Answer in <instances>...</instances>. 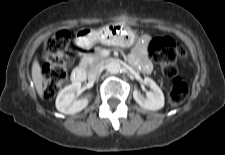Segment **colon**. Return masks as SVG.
Here are the masks:
<instances>
[{
    "label": "colon",
    "mask_w": 225,
    "mask_h": 155,
    "mask_svg": "<svg viewBox=\"0 0 225 155\" xmlns=\"http://www.w3.org/2000/svg\"><path fill=\"white\" fill-rule=\"evenodd\" d=\"M70 33L61 30L52 35L44 45L43 96L50 100L56 96L68 77ZM149 54L160 65L161 73L171 81L168 102L171 106L182 104L188 95L187 84L179 77L178 64L187 56L184 46L170 37L150 41Z\"/></svg>",
    "instance_id": "obj_1"
}]
</instances>
